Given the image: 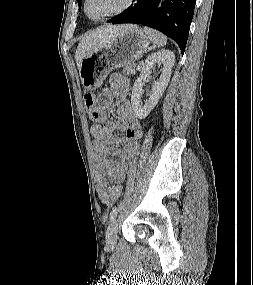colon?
Masks as SVG:
<instances>
[{"label":"colon","mask_w":253,"mask_h":285,"mask_svg":"<svg viewBox=\"0 0 253 285\" xmlns=\"http://www.w3.org/2000/svg\"><path fill=\"white\" fill-rule=\"evenodd\" d=\"M84 102H85L86 109L88 111L92 110L96 104V100H95L94 95L92 93H87L85 95ZM114 190L116 193L121 194L122 193V186L121 185H115Z\"/></svg>","instance_id":"1"}]
</instances>
